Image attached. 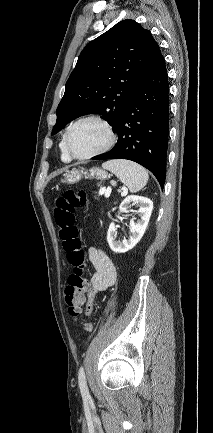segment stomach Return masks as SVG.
<instances>
[{
	"label": "stomach",
	"mask_w": 213,
	"mask_h": 433,
	"mask_svg": "<svg viewBox=\"0 0 213 433\" xmlns=\"http://www.w3.org/2000/svg\"><path fill=\"white\" fill-rule=\"evenodd\" d=\"M84 174H86V172L83 170L73 169L65 175V178L62 180V182L68 184L77 183L81 180ZM88 174L90 177L97 178L99 180H104L108 177V174L104 170L97 167L90 169Z\"/></svg>",
	"instance_id": "stomach-1"
}]
</instances>
